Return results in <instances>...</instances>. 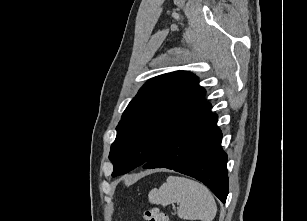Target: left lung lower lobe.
Masks as SVG:
<instances>
[{
  "label": "left lung lower lobe",
  "mask_w": 307,
  "mask_h": 221,
  "mask_svg": "<svg viewBox=\"0 0 307 221\" xmlns=\"http://www.w3.org/2000/svg\"><path fill=\"white\" fill-rule=\"evenodd\" d=\"M217 115L210 111L170 140L143 168H168L203 182L225 203L228 195L227 155L221 148Z\"/></svg>",
  "instance_id": "obj_1"
}]
</instances>
